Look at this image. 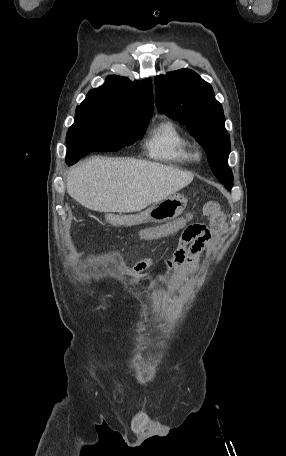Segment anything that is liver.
Here are the masks:
<instances>
[{
    "label": "liver",
    "mask_w": 286,
    "mask_h": 456,
    "mask_svg": "<svg viewBox=\"0 0 286 456\" xmlns=\"http://www.w3.org/2000/svg\"><path fill=\"white\" fill-rule=\"evenodd\" d=\"M193 174L156 162L92 157L67 176V193L98 212L141 211L189 185Z\"/></svg>",
    "instance_id": "1"
}]
</instances>
